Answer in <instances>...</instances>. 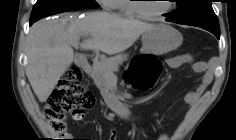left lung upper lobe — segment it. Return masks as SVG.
<instances>
[{
    "label": "left lung upper lobe",
    "mask_w": 236,
    "mask_h": 140,
    "mask_svg": "<svg viewBox=\"0 0 236 140\" xmlns=\"http://www.w3.org/2000/svg\"><path fill=\"white\" fill-rule=\"evenodd\" d=\"M177 10L164 16L171 22L197 26L220 35L217 16L212 8V0H175Z\"/></svg>",
    "instance_id": "1"
}]
</instances>
